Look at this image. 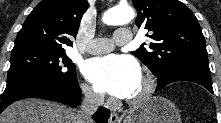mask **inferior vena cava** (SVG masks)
I'll use <instances>...</instances> for the list:
<instances>
[{
	"instance_id": "602c4592",
	"label": "inferior vena cava",
	"mask_w": 221,
	"mask_h": 123,
	"mask_svg": "<svg viewBox=\"0 0 221 123\" xmlns=\"http://www.w3.org/2000/svg\"><path fill=\"white\" fill-rule=\"evenodd\" d=\"M84 99L80 105L79 123H92V115L104 103V95L83 88Z\"/></svg>"
}]
</instances>
